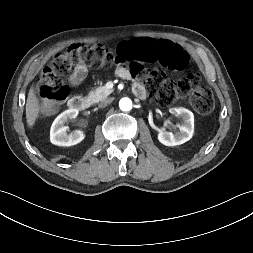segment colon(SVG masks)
Wrapping results in <instances>:
<instances>
[{"instance_id": "obj_1", "label": "colon", "mask_w": 253, "mask_h": 253, "mask_svg": "<svg viewBox=\"0 0 253 253\" xmlns=\"http://www.w3.org/2000/svg\"><path fill=\"white\" fill-rule=\"evenodd\" d=\"M145 66H159L165 70L183 71L190 64L189 54L181 47L154 37L126 40L117 49L101 44H75L65 52L56 54L44 68L39 82L40 108L43 113L53 112L59 103L65 101L69 90L64 76L77 65L93 68L117 65L129 70L147 86L150 94L162 105L188 97L191 106L206 114L214 107L211 91L200 84L198 73H189L178 79L168 78L163 72L145 69Z\"/></svg>"}]
</instances>
